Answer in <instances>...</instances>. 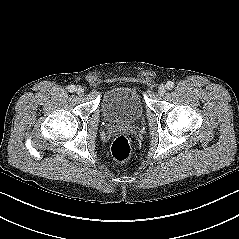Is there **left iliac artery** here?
Segmentation results:
<instances>
[{
    "label": "left iliac artery",
    "instance_id": "1",
    "mask_svg": "<svg viewBox=\"0 0 239 239\" xmlns=\"http://www.w3.org/2000/svg\"><path fill=\"white\" fill-rule=\"evenodd\" d=\"M166 87H167V89H172L173 87H174V83L172 82V81H168L167 83H166Z\"/></svg>",
    "mask_w": 239,
    "mask_h": 239
}]
</instances>
